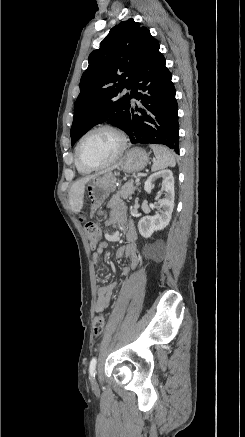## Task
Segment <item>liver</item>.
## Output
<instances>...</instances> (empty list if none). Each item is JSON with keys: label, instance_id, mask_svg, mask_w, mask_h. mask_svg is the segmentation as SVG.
<instances>
[{"label": "liver", "instance_id": "liver-1", "mask_svg": "<svg viewBox=\"0 0 245 437\" xmlns=\"http://www.w3.org/2000/svg\"><path fill=\"white\" fill-rule=\"evenodd\" d=\"M94 176H87L78 181H76L70 191H69V204L72 212L78 214L84 203V192L85 185L88 183Z\"/></svg>", "mask_w": 245, "mask_h": 437}]
</instances>
